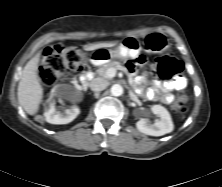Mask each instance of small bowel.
<instances>
[{
	"instance_id": "obj_1",
	"label": "small bowel",
	"mask_w": 222,
	"mask_h": 187,
	"mask_svg": "<svg viewBox=\"0 0 222 187\" xmlns=\"http://www.w3.org/2000/svg\"><path fill=\"white\" fill-rule=\"evenodd\" d=\"M140 84V82H138ZM186 87V80L177 76L169 81L159 82L153 88L145 91V98L163 104H172L175 100L173 91H180Z\"/></svg>"
}]
</instances>
